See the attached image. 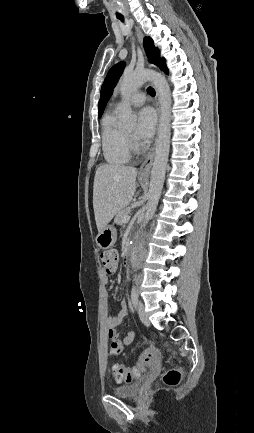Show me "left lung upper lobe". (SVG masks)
Listing matches in <instances>:
<instances>
[{
	"label": "left lung upper lobe",
	"mask_w": 254,
	"mask_h": 433,
	"mask_svg": "<svg viewBox=\"0 0 254 433\" xmlns=\"http://www.w3.org/2000/svg\"><path fill=\"white\" fill-rule=\"evenodd\" d=\"M144 48H145V51L148 55L149 61L151 63H154L157 66H160V68L162 70L166 69L165 59L160 58V53H159L158 49L154 46L153 40L150 37L144 38ZM124 67H125V63L120 62V63L114 65L109 70V72L105 78V81L102 85V88H101V96H100V100L98 103V109H99L98 116L99 117L103 113V110L106 106V103H107L108 99L110 98V96L112 95L113 88L115 87L119 77L121 76Z\"/></svg>",
	"instance_id": "obj_1"
}]
</instances>
